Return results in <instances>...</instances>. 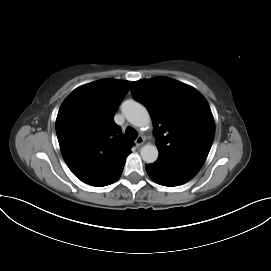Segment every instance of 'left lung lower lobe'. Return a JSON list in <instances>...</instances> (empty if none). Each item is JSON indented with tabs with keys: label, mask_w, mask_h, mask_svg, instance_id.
Here are the masks:
<instances>
[{
	"label": "left lung lower lobe",
	"mask_w": 271,
	"mask_h": 271,
	"mask_svg": "<svg viewBox=\"0 0 271 271\" xmlns=\"http://www.w3.org/2000/svg\"><path fill=\"white\" fill-rule=\"evenodd\" d=\"M146 171L149 177L156 183L164 186H177L192 179L200 168L158 157L153 164H146Z\"/></svg>",
	"instance_id": "0a47b994"
}]
</instances>
